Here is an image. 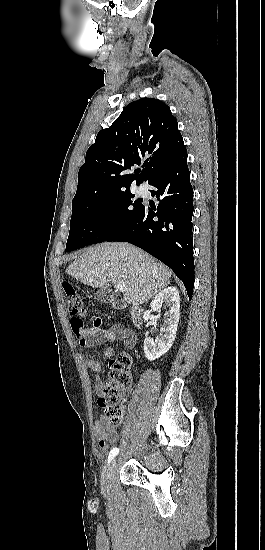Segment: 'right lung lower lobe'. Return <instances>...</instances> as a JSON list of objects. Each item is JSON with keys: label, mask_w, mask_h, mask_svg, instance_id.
<instances>
[{"label": "right lung lower lobe", "mask_w": 265, "mask_h": 550, "mask_svg": "<svg viewBox=\"0 0 265 550\" xmlns=\"http://www.w3.org/2000/svg\"><path fill=\"white\" fill-rule=\"evenodd\" d=\"M160 203L144 206L131 222L106 241L132 243L168 265L181 279L191 299L194 285L193 189L184 148L150 181Z\"/></svg>", "instance_id": "1"}]
</instances>
